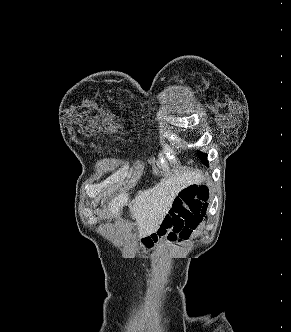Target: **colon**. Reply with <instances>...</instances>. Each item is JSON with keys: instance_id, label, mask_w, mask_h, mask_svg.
Masks as SVG:
<instances>
[{"instance_id": "5ec220e1", "label": "colon", "mask_w": 291, "mask_h": 332, "mask_svg": "<svg viewBox=\"0 0 291 332\" xmlns=\"http://www.w3.org/2000/svg\"><path fill=\"white\" fill-rule=\"evenodd\" d=\"M209 205V194L203 188L193 191H181L175 199L172 209L166 215L162 226L145 243L150 246L159 238L169 241L187 239L205 217Z\"/></svg>"}]
</instances>
